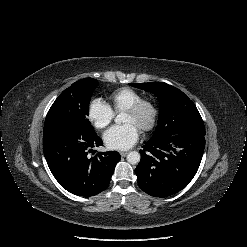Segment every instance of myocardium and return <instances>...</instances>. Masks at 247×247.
I'll return each mask as SVG.
<instances>
[{
  "mask_svg": "<svg viewBox=\"0 0 247 247\" xmlns=\"http://www.w3.org/2000/svg\"><path fill=\"white\" fill-rule=\"evenodd\" d=\"M144 108L149 109L150 115L149 118L143 124H141L140 128L143 131H150L155 127L159 116L158 105L153 99L142 97L130 106H128L125 109V111L138 114L142 112Z\"/></svg>",
  "mask_w": 247,
  "mask_h": 247,
  "instance_id": "f54148a6",
  "label": "myocardium"
}]
</instances>
